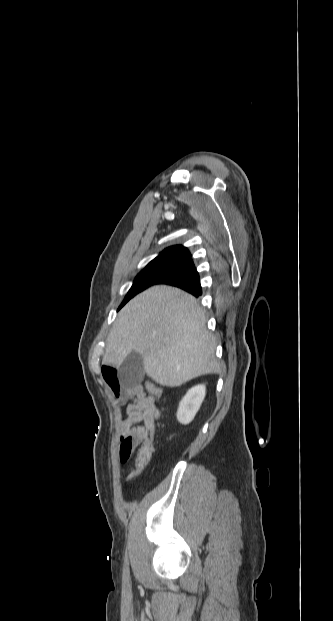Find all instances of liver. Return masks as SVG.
Segmentation results:
<instances>
[{
  "mask_svg": "<svg viewBox=\"0 0 333 621\" xmlns=\"http://www.w3.org/2000/svg\"><path fill=\"white\" fill-rule=\"evenodd\" d=\"M215 349L196 298L179 288L157 285L121 309L107 339L103 364L119 367L134 351L153 381L176 387L218 372Z\"/></svg>",
  "mask_w": 333,
  "mask_h": 621,
  "instance_id": "liver-1",
  "label": "liver"
}]
</instances>
